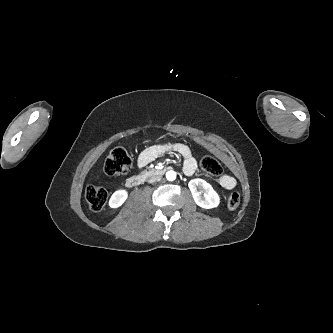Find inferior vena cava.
I'll list each match as a JSON object with an SVG mask.
<instances>
[{"label":"inferior vena cava","instance_id":"1","mask_svg":"<svg viewBox=\"0 0 333 333\" xmlns=\"http://www.w3.org/2000/svg\"><path fill=\"white\" fill-rule=\"evenodd\" d=\"M161 180V176H152L148 182L149 183H154V182H157V181H160Z\"/></svg>","mask_w":333,"mask_h":333}]
</instances>
